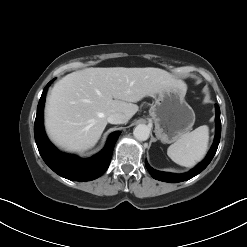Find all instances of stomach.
<instances>
[{"instance_id":"obj_1","label":"stomach","mask_w":247,"mask_h":247,"mask_svg":"<svg viewBox=\"0 0 247 247\" xmlns=\"http://www.w3.org/2000/svg\"><path fill=\"white\" fill-rule=\"evenodd\" d=\"M185 94V84L167 87L150 107L155 134L163 143L175 142L194 125L195 113L185 101Z\"/></svg>"}]
</instances>
